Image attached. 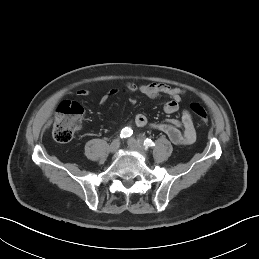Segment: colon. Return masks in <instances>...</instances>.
Instances as JSON below:
<instances>
[{"mask_svg":"<svg viewBox=\"0 0 259 259\" xmlns=\"http://www.w3.org/2000/svg\"><path fill=\"white\" fill-rule=\"evenodd\" d=\"M190 109L201 124L209 123V115L200 104L192 103ZM83 112L82 106L77 102L67 101L59 106L53 125V136L58 142L65 143L72 139L74 131L80 125Z\"/></svg>","mask_w":259,"mask_h":259,"instance_id":"obj_1","label":"colon"}]
</instances>
